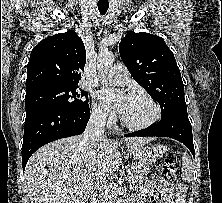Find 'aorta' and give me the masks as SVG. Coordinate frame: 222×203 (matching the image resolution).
Segmentation results:
<instances>
[{"mask_svg": "<svg viewBox=\"0 0 222 203\" xmlns=\"http://www.w3.org/2000/svg\"><path fill=\"white\" fill-rule=\"evenodd\" d=\"M114 55L109 52H102L99 54L98 60H97V71L101 75H105L112 64L114 63ZM116 203H120L121 200L118 198L115 200Z\"/></svg>", "mask_w": 222, "mask_h": 203, "instance_id": "1", "label": "aorta"}]
</instances>
